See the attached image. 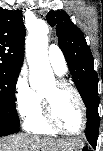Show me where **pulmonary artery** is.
Segmentation results:
<instances>
[{
  "label": "pulmonary artery",
  "mask_w": 103,
  "mask_h": 151,
  "mask_svg": "<svg viewBox=\"0 0 103 151\" xmlns=\"http://www.w3.org/2000/svg\"><path fill=\"white\" fill-rule=\"evenodd\" d=\"M48 59L56 73L64 74L67 71L64 54L57 45L53 44L49 46Z\"/></svg>",
  "instance_id": "1"
}]
</instances>
